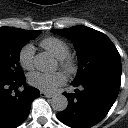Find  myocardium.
I'll return each mask as SVG.
<instances>
[{
	"label": "myocardium",
	"instance_id": "f54148a6",
	"mask_svg": "<svg viewBox=\"0 0 128 128\" xmlns=\"http://www.w3.org/2000/svg\"><path fill=\"white\" fill-rule=\"evenodd\" d=\"M59 67L66 73L72 75L75 74L78 69V64L75 57L71 54H67L64 58L58 59Z\"/></svg>",
	"mask_w": 128,
	"mask_h": 128
}]
</instances>
